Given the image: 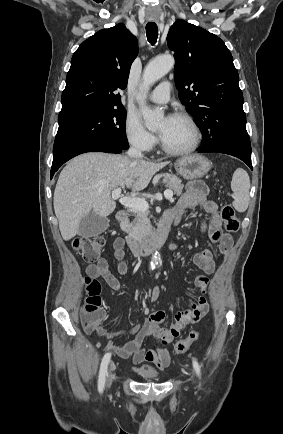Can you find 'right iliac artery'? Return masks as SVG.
Instances as JSON below:
<instances>
[{
    "label": "right iliac artery",
    "mask_w": 283,
    "mask_h": 434,
    "mask_svg": "<svg viewBox=\"0 0 283 434\" xmlns=\"http://www.w3.org/2000/svg\"><path fill=\"white\" fill-rule=\"evenodd\" d=\"M110 358H111V353H106L102 359V362H101L99 378H98V390L100 392H102L104 387H105L107 367H108V363L110 361Z\"/></svg>",
    "instance_id": "obj_1"
}]
</instances>
